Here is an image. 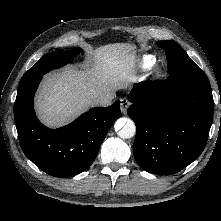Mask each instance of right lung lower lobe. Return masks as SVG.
I'll return each instance as SVG.
<instances>
[{
  "label": "right lung lower lobe",
  "instance_id": "obj_1",
  "mask_svg": "<svg viewBox=\"0 0 221 221\" xmlns=\"http://www.w3.org/2000/svg\"><path fill=\"white\" fill-rule=\"evenodd\" d=\"M42 76L20 83L18 88L14 116L21 148L51 176L77 175L90 167L108 130L121 117L120 101L92 108L69 125L49 129L39 122L33 107Z\"/></svg>",
  "mask_w": 221,
  "mask_h": 221
}]
</instances>
